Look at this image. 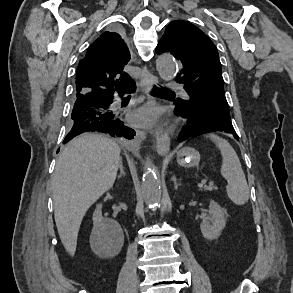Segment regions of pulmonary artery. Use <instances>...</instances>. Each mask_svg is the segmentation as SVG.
<instances>
[{
  "mask_svg": "<svg viewBox=\"0 0 293 293\" xmlns=\"http://www.w3.org/2000/svg\"><path fill=\"white\" fill-rule=\"evenodd\" d=\"M169 87L173 90H178L180 91L183 95H186L185 91L183 90V88L178 85V84H175V83H172V82H169L168 83Z\"/></svg>",
  "mask_w": 293,
  "mask_h": 293,
  "instance_id": "pulmonary-artery-1",
  "label": "pulmonary artery"
}]
</instances>
